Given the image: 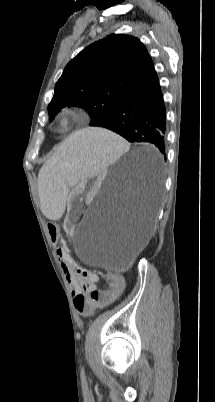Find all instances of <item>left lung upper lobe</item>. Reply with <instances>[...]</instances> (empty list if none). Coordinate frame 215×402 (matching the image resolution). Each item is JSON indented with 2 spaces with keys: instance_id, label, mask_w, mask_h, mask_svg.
Here are the masks:
<instances>
[{
  "instance_id": "5c2ea615",
  "label": "left lung upper lobe",
  "mask_w": 215,
  "mask_h": 402,
  "mask_svg": "<svg viewBox=\"0 0 215 402\" xmlns=\"http://www.w3.org/2000/svg\"><path fill=\"white\" fill-rule=\"evenodd\" d=\"M154 68L139 39L113 34L82 50L65 67L48 111L52 121L66 106L85 108L97 126L107 119Z\"/></svg>"
}]
</instances>
